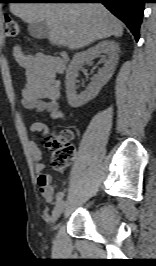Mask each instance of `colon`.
<instances>
[{"instance_id": "5ec220e1", "label": "colon", "mask_w": 156, "mask_h": 266, "mask_svg": "<svg viewBox=\"0 0 156 266\" xmlns=\"http://www.w3.org/2000/svg\"><path fill=\"white\" fill-rule=\"evenodd\" d=\"M5 35L9 39H18L21 30L18 22L11 16L4 18ZM73 134L69 130L47 137V146L52 150V165L57 170H63L68 167L74 158V147L71 144Z\"/></svg>"}]
</instances>
